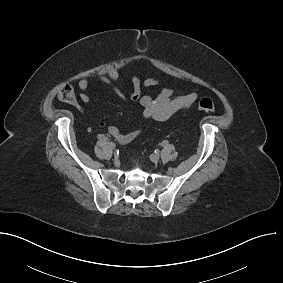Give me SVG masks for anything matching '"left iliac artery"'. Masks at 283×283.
Here are the masks:
<instances>
[{
	"mask_svg": "<svg viewBox=\"0 0 283 283\" xmlns=\"http://www.w3.org/2000/svg\"><path fill=\"white\" fill-rule=\"evenodd\" d=\"M168 143H169V142H168L167 140H164V141H162L161 145H162V146H167Z\"/></svg>",
	"mask_w": 283,
	"mask_h": 283,
	"instance_id": "1",
	"label": "left iliac artery"
}]
</instances>
